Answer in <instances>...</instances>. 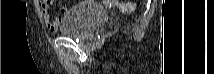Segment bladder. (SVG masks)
<instances>
[{"mask_svg":"<svg viewBox=\"0 0 214 74\" xmlns=\"http://www.w3.org/2000/svg\"><path fill=\"white\" fill-rule=\"evenodd\" d=\"M106 18L104 10L94 2H82L74 7L59 27V33L76 40L87 39L94 27Z\"/></svg>","mask_w":214,"mask_h":74,"instance_id":"bladder-1","label":"bladder"}]
</instances>
